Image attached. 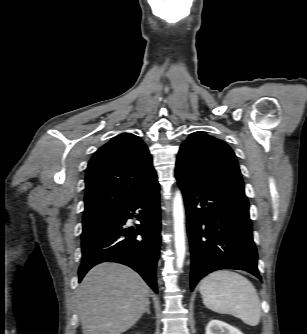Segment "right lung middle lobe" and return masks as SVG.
<instances>
[{
	"label": "right lung middle lobe",
	"mask_w": 307,
	"mask_h": 334,
	"mask_svg": "<svg viewBox=\"0 0 307 334\" xmlns=\"http://www.w3.org/2000/svg\"><path fill=\"white\" fill-rule=\"evenodd\" d=\"M112 214H97L83 217L82 239L108 222Z\"/></svg>",
	"instance_id": "1"
}]
</instances>
